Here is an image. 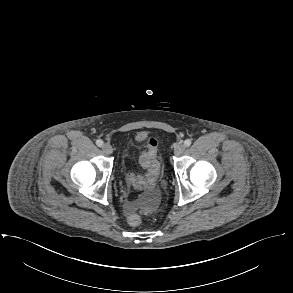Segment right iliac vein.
<instances>
[{"instance_id": "63e3f726", "label": "right iliac vein", "mask_w": 293, "mask_h": 293, "mask_svg": "<svg viewBox=\"0 0 293 293\" xmlns=\"http://www.w3.org/2000/svg\"><path fill=\"white\" fill-rule=\"evenodd\" d=\"M102 150L105 154L110 155L113 153V148L110 144H104L102 146Z\"/></svg>"}]
</instances>
